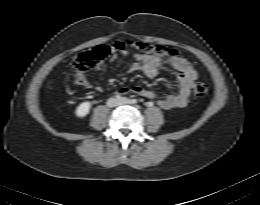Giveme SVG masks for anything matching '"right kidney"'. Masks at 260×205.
<instances>
[{"instance_id": "ca27d5eb", "label": "right kidney", "mask_w": 260, "mask_h": 205, "mask_svg": "<svg viewBox=\"0 0 260 205\" xmlns=\"http://www.w3.org/2000/svg\"><path fill=\"white\" fill-rule=\"evenodd\" d=\"M91 108V103L86 101V102H82L81 104H79V106H77L76 110H75V115L78 118H84L90 111Z\"/></svg>"}]
</instances>
